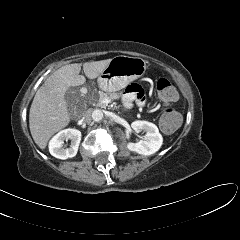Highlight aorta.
<instances>
[{
	"instance_id": "obj_1",
	"label": "aorta",
	"mask_w": 240,
	"mask_h": 240,
	"mask_svg": "<svg viewBox=\"0 0 240 240\" xmlns=\"http://www.w3.org/2000/svg\"><path fill=\"white\" fill-rule=\"evenodd\" d=\"M103 118V112L100 109H96L92 112V119L96 122L101 121Z\"/></svg>"
}]
</instances>
